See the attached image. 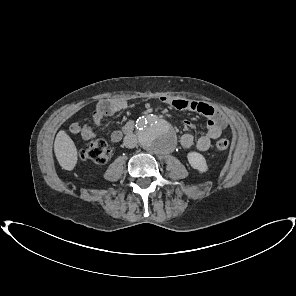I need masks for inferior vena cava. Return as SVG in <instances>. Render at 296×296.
<instances>
[{
    "mask_svg": "<svg viewBox=\"0 0 296 296\" xmlns=\"http://www.w3.org/2000/svg\"><path fill=\"white\" fill-rule=\"evenodd\" d=\"M124 145L127 148H134L137 145V137L135 134H127L124 137Z\"/></svg>",
    "mask_w": 296,
    "mask_h": 296,
    "instance_id": "1",
    "label": "inferior vena cava"
}]
</instances>
